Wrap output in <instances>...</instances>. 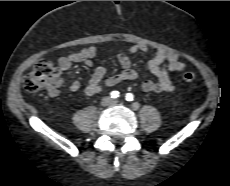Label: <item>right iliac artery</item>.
Wrapping results in <instances>:
<instances>
[{
    "mask_svg": "<svg viewBox=\"0 0 230 186\" xmlns=\"http://www.w3.org/2000/svg\"><path fill=\"white\" fill-rule=\"evenodd\" d=\"M110 95H111V98H114V99H116L120 96L118 91H112L110 93Z\"/></svg>",
    "mask_w": 230,
    "mask_h": 186,
    "instance_id": "1",
    "label": "right iliac artery"
}]
</instances>
